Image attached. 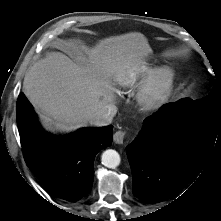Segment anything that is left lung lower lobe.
I'll return each instance as SVG.
<instances>
[{"instance_id":"left-lung-lower-lobe-1","label":"left lung lower lobe","mask_w":221,"mask_h":221,"mask_svg":"<svg viewBox=\"0 0 221 221\" xmlns=\"http://www.w3.org/2000/svg\"><path fill=\"white\" fill-rule=\"evenodd\" d=\"M188 100L165 104L147 117L126 148L133 194L142 202L153 204L178 194L202 171L214 144L221 143V120L186 116L183 104Z\"/></svg>"}]
</instances>
